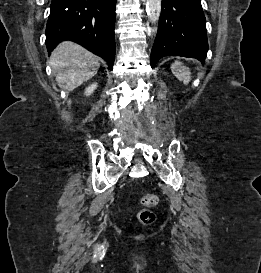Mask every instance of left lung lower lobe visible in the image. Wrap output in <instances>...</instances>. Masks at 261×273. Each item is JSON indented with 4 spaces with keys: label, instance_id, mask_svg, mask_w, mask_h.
Returning <instances> with one entry per match:
<instances>
[{
    "label": "left lung lower lobe",
    "instance_id": "0a47b994",
    "mask_svg": "<svg viewBox=\"0 0 261 273\" xmlns=\"http://www.w3.org/2000/svg\"><path fill=\"white\" fill-rule=\"evenodd\" d=\"M205 22L200 0H162L158 31L151 51V67L168 55L204 62L208 51Z\"/></svg>",
    "mask_w": 261,
    "mask_h": 273
}]
</instances>
